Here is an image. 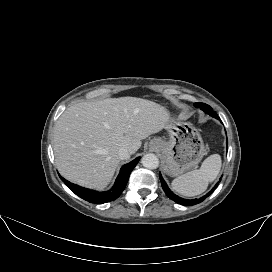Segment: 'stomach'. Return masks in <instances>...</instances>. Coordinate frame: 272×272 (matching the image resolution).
Here are the masks:
<instances>
[{
	"mask_svg": "<svg viewBox=\"0 0 272 272\" xmlns=\"http://www.w3.org/2000/svg\"><path fill=\"white\" fill-rule=\"evenodd\" d=\"M165 129L169 139L154 138L149 148L162 155V167L166 174L178 176L196 167L206 154L201 135L190 123L169 118Z\"/></svg>",
	"mask_w": 272,
	"mask_h": 272,
	"instance_id": "0dacf381",
	"label": "stomach"
}]
</instances>
